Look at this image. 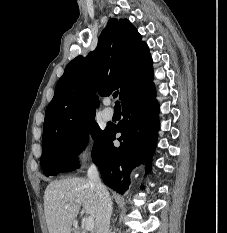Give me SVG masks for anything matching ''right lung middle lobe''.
I'll return each mask as SVG.
<instances>
[{"instance_id":"right-lung-middle-lobe-1","label":"right lung middle lobe","mask_w":227,"mask_h":233,"mask_svg":"<svg viewBox=\"0 0 227 233\" xmlns=\"http://www.w3.org/2000/svg\"><path fill=\"white\" fill-rule=\"evenodd\" d=\"M106 134L107 129L102 131L93 120L42 144L41 167L45 175H56L59 172L75 168L76 157L84 147L89 135L96 140L92 150V156H94Z\"/></svg>"}]
</instances>
